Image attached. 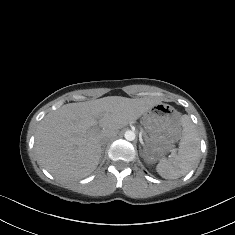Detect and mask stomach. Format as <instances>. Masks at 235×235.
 <instances>
[{"instance_id":"obj_1","label":"stomach","mask_w":235,"mask_h":235,"mask_svg":"<svg viewBox=\"0 0 235 235\" xmlns=\"http://www.w3.org/2000/svg\"><path fill=\"white\" fill-rule=\"evenodd\" d=\"M142 125L148 133L142 157L152 165L175 151V143L182 137V115L173 106L158 103L142 116Z\"/></svg>"}]
</instances>
